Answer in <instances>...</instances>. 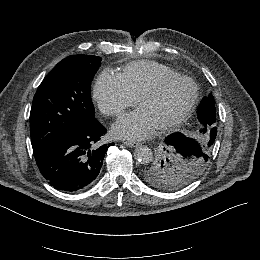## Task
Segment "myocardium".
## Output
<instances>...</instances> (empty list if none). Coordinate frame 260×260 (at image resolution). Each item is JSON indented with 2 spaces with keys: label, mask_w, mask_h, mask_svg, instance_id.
Returning a JSON list of instances; mask_svg holds the SVG:
<instances>
[{
  "label": "myocardium",
  "mask_w": 260,
  "mask_h": 260,
  "mask_svg": "<svg viewBox=\"0 0 260 260\" xmlns=\"http://www.w3.org/2000/svg\"><path fill=\"white\" fill-rule=\"evenodd\" d=\"M176 79H184V80L190 81L192 83V81L190 80V78L188 76L181 74V73L161 76L159 78H156L150 85H148L147 87H145L143 90H141L139 92V94L136 97V104H138L141 101V99H143L144 97L157 93L161 89V87L163 85H165L166 83L176 80ZM193 86L195 88L194 97L191 100L187 109L183 112V114L181 116H179L174 121H171L169 123H165V124L155 127V129L158 133L173 131V130L179 128L190 117V115L194 111V109L200 99L199 89L194 84H193Z\"/></svg>",
  "instance_id": "f54148a6"
}]
</instances>
